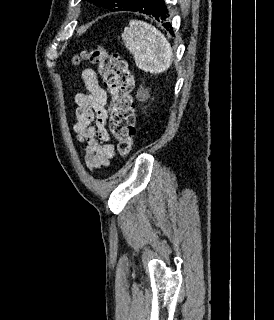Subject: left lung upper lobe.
Listing matches in <instances>:
<instances>
[{
  "label": "left lung upper lobe",
  "mask_w": 274,
  "mask_h": 320,
  "mask_svg": "<svg viewBox=\"0 0 274 320\" xmlns=\"http://www.w3.org/2000/svg\"><path fill=\"white\" fill-rule=\"evenodd\" d=\"M91 3H95L97 6L109 9L111 11H122L135 0H87Z\"/></svg>",
  "instance_id": "left-lung-upper-lobe-1"
}]
</instances>
